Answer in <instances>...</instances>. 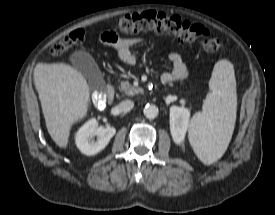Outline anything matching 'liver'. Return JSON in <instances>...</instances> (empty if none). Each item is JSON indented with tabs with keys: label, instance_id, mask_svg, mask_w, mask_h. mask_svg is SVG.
<instances>
[{
	"label": "liver",
	"instance_id": "1",
	"mask_svg": "<svg viewBox=\"0 0 275 215\" xmlns=\"http://www.w3.org/2000/svg\"><path fill=\"white\" fill-rule=\"evenodd\" d=\"M46 128L61 148L68 145L72 125L87 114L90 91L86 79L65 63H38L34 69Z\"/></svg>",
	"mask_w": 275,
	"mask_h": 215
}]
</instances>
